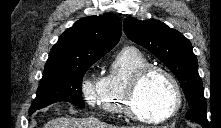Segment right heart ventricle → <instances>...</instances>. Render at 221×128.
<instances>
[{
	"label": "right heart ventricle",
	"instance_id": "obj_1",
	"mask_svg": "<svg viewBox=\"0 0 221 128\" xmlns=\"http://www.w3.org/2000/svg\"><path fill=\"white\" fill-rule=\"evenodd\" d=\"M147 65V57L137 48L120 50L103 79L98 97L100 109L116 116L127 115L125 104L128 85L136 72Z\"/></svg>",
	"mask_w": 221,
	"mask_h": 128
}]
</instances>
